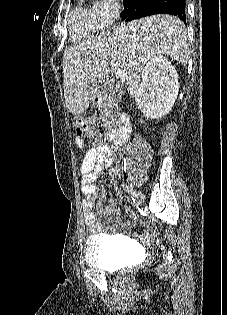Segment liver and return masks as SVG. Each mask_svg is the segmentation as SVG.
<instances>
[{
	"label": "liver",
	"instance_id": "liver-1",
	"mask_svg": "<svg viewBox=\"0 0 227 315\" xmlns=\"http://www.w3.org/2000/svg\"><path fill=\"white\" fill-rule=\"evenodd\" d=\"M186 66L189 49L184 23L170 15H154L123 23L63 54L64 97L73 115L86 111L92 87L105 85L111 63L125 70L126 87L135 98L143 67L157 55Z\"/></svg>",
	"mask_w": 227,
	"mask_h": 315
}]
</instances>
